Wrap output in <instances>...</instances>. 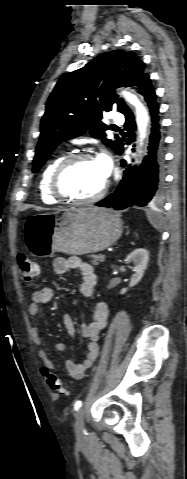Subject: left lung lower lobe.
Here are the masks:
<instances>
[{"instance_id": "1", "label": "left lung lower lobe", "mask_w": 187, "mask_h": 479, "mask_svg": "<svg viewBox=\"0 0 187 479\" xmlns=\"http://www.w3.org/2000/svg\"><path fill=\"white\" fill-rule=\"evenodd\" d=\"M139 93L144 96L151 115L149 155L144 158L142 165L138 168L131 166L126 168L116 191L96 203V206L122 210L132 206L156 205L163 197V139L160 133L159 106L149 77L142 81ZM123 114L126 117L124 127L129 132L127 143L130 144L135 140L136 124L129 108ZM122 152L123 143L117 154ZM121 165L125 167L126 162L122 160Z\"/></svg>"}]
</instances>
